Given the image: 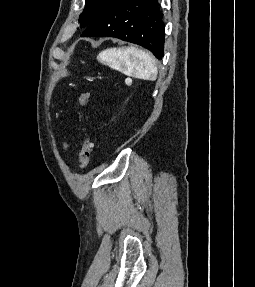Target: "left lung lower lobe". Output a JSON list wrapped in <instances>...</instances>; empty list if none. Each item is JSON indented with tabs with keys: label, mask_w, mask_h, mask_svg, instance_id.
<instances>
[{
	"label": "left lung lower lobe",
	"mask_w": 255,
	"mask_h": 287,
	"mask_svg": "<svg viewBox=\"0 0 255 287\" xmlns=\"http://www.w3.org/2000/svg\"><path fill=\"white\" fill-rule=\"evenodd\" d=\"M162 18L158 0H113L81 36L116 37L141 45L162 59L165 32Z\"/></svg>",
	"instance_id": "0a47b994"
}]
</instances>
